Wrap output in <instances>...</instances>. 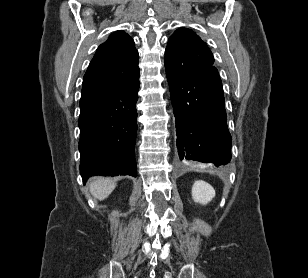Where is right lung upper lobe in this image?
I'll return each instance as SVG.
<instances>
[{
	"mask_svg": "<svg viewBox=\"0 0 308 278\" xmlns=\"http://www.w3.org/2000/svg\"><path fill=\"white\" fill-rule=\"evenodd\" d=\"M138 52L124 31L112 33L101 44L83 78L81 96L115 91L139 75Z\"/></svg>",
	"mask_w": 308,
	"mask_h": 278,
	"instance_id": "cb5924a9",
	"label": "right lung upper lobe"
}]
</instances>
